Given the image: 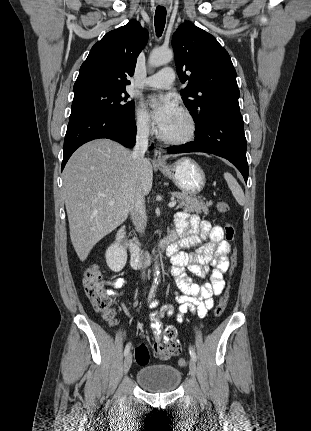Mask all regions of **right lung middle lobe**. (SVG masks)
<instances>
[{"mask_svg":"<svg viewBox=\"0 0 311 431\" xmlns=\"http://www.w3.org/2000/svg\"><path fill=\"white\" fill-rule=\"evenodd\" d=\"M125 90L87 89L74 92L71 115L83 112H105L123 117L134 115V102Z\"/></svg>","mask_w":311,"mask_h":431,"instance_id":"right-lung-middle-lobe-1","label":"right lung middle lobe"}]
</instances>
